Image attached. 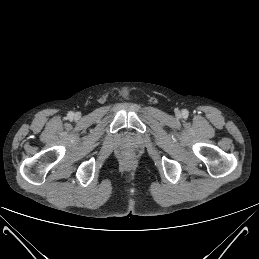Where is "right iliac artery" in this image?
Instances as JSON below:
<instances>
[{
  "mask_svg": "<svg viewBox=\"0 0 259 259\" xmlns=\"http://www.w3.org/2000/svg\"><path fill=\"white\" fill-rule=\"evenodd\" d=\"M67 116L69 119H72L74 116V113L72 111H70Z\"/></svg>",
  "mask_w": 259,
  "mask_h": 259,
  "instance_id": "1",
  "label": "right iliac artery"
}]
</instances>
